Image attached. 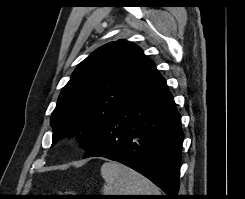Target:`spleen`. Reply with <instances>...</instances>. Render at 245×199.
<instances>
[{"mask_svg":"<svg viewBox=\"0 0 245 199\" xmlns=\"http://www.w3.org/2000/svg\"><path fill=\"white\" fill-rule=\"evenodd\" d=\"M101 175L104 195H161L150 180L121 163L105 162Z\"/></svg>","mask_w":245,"mask_h":199,"instance_id":"1","label":"spleen"}]
</instances>
